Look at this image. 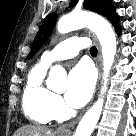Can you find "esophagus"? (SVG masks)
<instances>
[{"mask_svg":"<svg viewBox=\"0 0 136 136\" xmlns=\"http://www.w3.org/2000/svg\"><path fill=\"white\" fill-rule=\"evenodd\" d=\"M94 42L97 46V49H98V55H97V59H96V66L98 68V72H99V79H100V76H101V48H100V45L97 41V39L94 38ZM81 116H79L77 119L75 120H72L71 122L67 123V124H64L62 126H60L58 128V132L60 133H70L71 130L75 127V125L78 123L79 119H80Z\"/></svg>","mask_w":136,"mask_h":136,"instance_id":"1","label":"esophagus"}]
</instances>
